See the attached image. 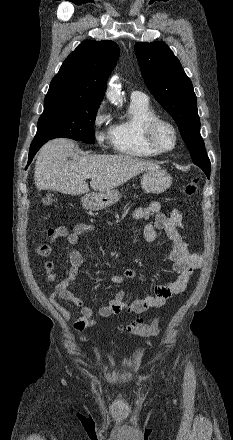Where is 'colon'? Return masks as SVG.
Masks as SVG:
<instances>
[{
  "label": "colon",
  "mask_w": 233,
  "mask_h": 440,
  "mask_svg": "<svg viewBox=\"0 0 233 440\" xmlns=\"http://www.w3.org/2000/svg\"><path fill=\"white\" fill-rule=\"evenodd\" d=\"M198 189V179H192L188 181L183 188V192L186 196H192L196 193ZM46 206L55 205V200L52 197H47L43 202ZM122 329L126 330L128 333L137 336H155L159 333V322L155 321L151 324H143L140 320L130 321Z\"/></svg>",
  "instance_id": "colon-1"
}]
</instances>
